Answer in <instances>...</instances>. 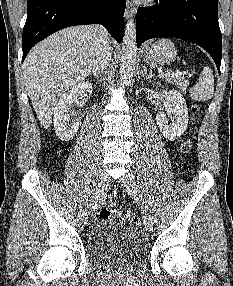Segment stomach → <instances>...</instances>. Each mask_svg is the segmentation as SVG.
<instances>
[{
    "label": "stomach",
    "mask_w": 233,
    "mask_h": 286,
    "mask_svg": "<svg viewBox=\"0 0 233 286\" xmlns=\"http://www.w3.org/2000/svg\"><path fill=\"white\" fill-rule=\"evenodd\" d=\"M177 58V49L169 39H160L146 47L144 60L147 63L169 65Z\"/></svg>",
    "instance_id": "obj_1"
}]
</instances>
